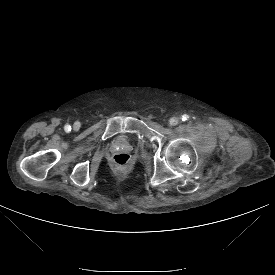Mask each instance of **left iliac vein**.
<instances>
[{
	"mask_svg": "<svg viewBox=\"0 0 275 275\" xmlns=\"http://www.w3.org/2000/svg\"><path fill=\"white\" fill-rule=\"evenodd\" d=\"M169 123H170L171 126H175L179 123V118L178 117H172V118H170Z\"/></svg>",
	"mask_w": 275,
	"mask_h": 275,
	"instance_id": "4c4485c4",
	"label": "left iliac vein"
}]
</instances>
